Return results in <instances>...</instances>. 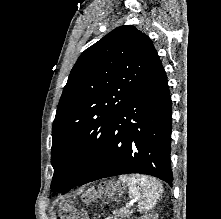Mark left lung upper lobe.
<instances>
[{"label": "left lung upper lobe", "instance_id": "left-lung-upper-lobe-1", "mask_svg": "<svg viewBox=\"0 0 221 219\" xmlns=\"http://www.w3.org/2000/svg\"><path fill=\"white\" fill-rule=\"evenodd\" d=\"M157 58L150 38L121 26L86 49L71 70L52 127V190L66 193L95 162L112 125Z\"/></svg>", "mask_w": 221, "mask_h": 219}]
</instances>
